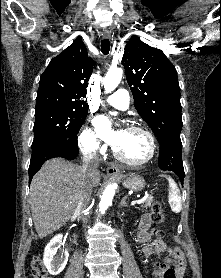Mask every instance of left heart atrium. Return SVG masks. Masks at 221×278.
<instances>
[{"mask_svg":"<svg viewBox=\"0 0 221 278\" xmlns=\"http://www.w3.org/2000/svg\"><path fill=\"white\" fill-rule=\"evenodd\" d=\"M96 124L99 129L100 135L107 143L114 147H117L122 143L125 134L124 130L115 132L111 131L109 120L103 116L97 118Z\"/></svg>","mask_w":221,"mask_h":278,"instance_id":"39dd6f15","label":"left heart atrium"}]
</instances>
